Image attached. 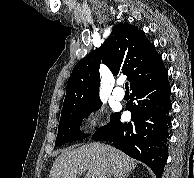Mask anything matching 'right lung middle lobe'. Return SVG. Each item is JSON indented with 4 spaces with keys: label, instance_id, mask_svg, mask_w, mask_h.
Wrapping results in <instances>:
<instances>
[{
    "label": "right lung middle lobe",
    "instance_id": "dd1d6c3e",
    "mask_svg": "<svg viewBox=\"0 0 194 178\" xmlns=\"http://www.w3.org/2000/svg\"><path fill=\"white\" fill-rule=\"evenodd\" d=\"M101 105L100 99H97L86 106L62 113L55 146L86 138L88 135L82 134L79 130L80 124L83 118H86L91 112L99 109Z\"/></svg>",
    "mask_w": 194,
    "mask_h": 178
}]
</instances>
